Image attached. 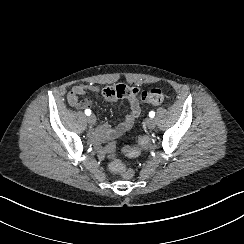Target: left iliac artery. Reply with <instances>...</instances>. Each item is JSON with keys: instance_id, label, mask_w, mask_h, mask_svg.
I'll list each match as a JSON object with an SVG mask.
<instances>
[{"instance_id": "left-iliac-artery-1", "label": "left iliac artery", "mask_w": 244, "mask_h": 244, "mask_svg": "<svg viewBox=\"0 0 244 244\" xmlns=\"http://www.w3.org/2000/svg\"><path fill=\"white\" fill-rule=\"evenodd\" d=\"M154 116H155V112L154 111L149 112V117L150 118H153Z\"/></svg>"}]
</instances>
